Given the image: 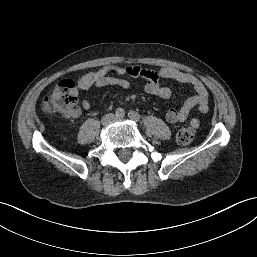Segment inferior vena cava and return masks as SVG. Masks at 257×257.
Listing matches in <instances>:
<instances>
[{
	"mask_svg": "<svg viewBox=\"0 0 257 257\" xmlns=\"http://www.w3.org/2000/svg\"><path fill=\"white\" fill-rule=\"evenodd\" d=\"M114 118V115L113 114H107L106 117H104L103 119H106V118Z\"/></svg>",
	"mask_w": 257,
	"mask_h": 257,
	"instance_id": "obj_1",
	"label": "inferior vena cava"
}]
</instances>
